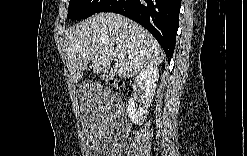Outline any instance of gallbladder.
<instances>
[{
	"mask_svg": "<svg viewBox=\"0 0 247 156\" xmlns=\"http://www.w3.org/2000/svg\"><path fill=\"white\" fill-rule=\"evenodd\" d=\"M110 74H113V70L112 69L110 70Z\"/></svg>",
	"mask_w": 247,
	"mask_h": 156,
	"instance_id": "1",
	"label": "gallbladder"
}]
</instances>
